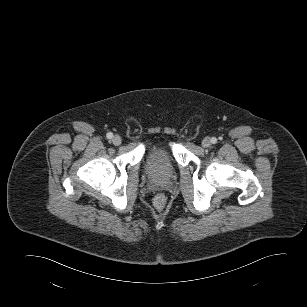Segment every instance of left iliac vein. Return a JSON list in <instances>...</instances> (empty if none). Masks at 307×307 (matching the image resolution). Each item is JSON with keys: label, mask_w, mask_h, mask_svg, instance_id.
I'll use <instances>...</instances> for the list:
<instances>
[{"label": "left iliac vein", "mask_w": 307, "mask_h": 307, "mask_svg": "<svg viewBox=\"0 0 307 307\" xmlns=\"http://www.w3.org/2000/svg\"><path fill=\"white\" fill-rule=\"evenodd\" d=\"M211 145V140L209 138H205L203 141H202V146L207 148Z\"/></svg>", "instance_id": "4c4485c4"}]
</instances>
